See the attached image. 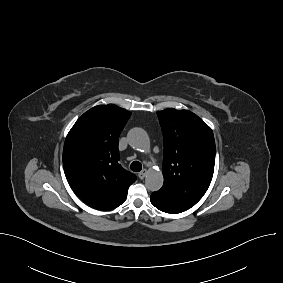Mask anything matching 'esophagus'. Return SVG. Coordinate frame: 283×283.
<instances>
[{
	"mask_svg": "<svg viewBox=\"0 0 283 283\" xmlns=\"http://www.w3.org/2000/svg\"><path fill=\"white\" fill-rule=\"evenodd\" d=\"M146 175H147V170L146 169H143L141 172L138 173V177L140 179H144Z\"/></svg>",
	"mask_w": 283,
	"mask_h": 283,
	"instance_id": "1",
	"label": "esophagus"
}]
</instances>
